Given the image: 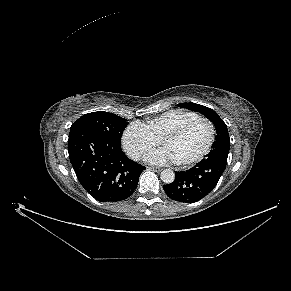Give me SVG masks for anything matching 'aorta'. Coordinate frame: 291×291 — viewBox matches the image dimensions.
I'll return each instance as SVG.
<instances>
[{"mask_svg": "<svg viewBox=\"0 0 291 291\" xmlns=\"http://www.w3.org/2000/svg\"><path fill=\"white\" fill-rule=\"evenodd\" d=\"M160 178L164 183L170 184L175 179V173L171 169H165L161 172Z\"/></svg>", "mask_w": 291, "mask_h": 291, "instance_id": "aorta-1", "label": "aorta"}]
</instances>
